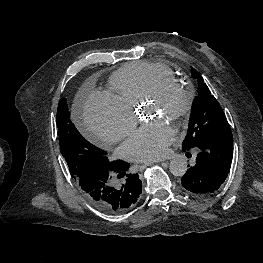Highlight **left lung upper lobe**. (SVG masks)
<instances>
[{"mask_svg":"<svg viewBox=\"0 0 263 263\" xmlns=\"http://www.w3.org/2000/svg\"><path fill=\"white\" fill-rule=\"evenodd\" d=\"M191 73L198 81V95L194 99L188 132L182 143L184 151L196 147L218 130L230 129L221 106L211 94L203 78L194 69Z\"/></svg>","mask_w":263,"mask_h":263,"instance_id":"5c2ea615","label":"left lung upper lobe"}]
</instances>
